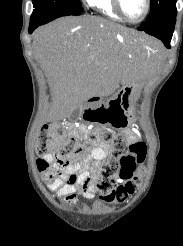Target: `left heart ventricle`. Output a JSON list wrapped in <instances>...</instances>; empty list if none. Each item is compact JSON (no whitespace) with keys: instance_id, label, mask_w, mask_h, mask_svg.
Segmentation results:
<instances>
[{"instance_id":"b2bd125f","label":"left heart ventricle","mask_w":183,"mask_h":246,"mask_svg":"<svg viewBox=\"0 0 183 246\" xmlns=\"http://www.w3.org/2000/svg\"><path fill=\"white\" fill-rule=\"evenodd\" d=\"M122 2L124 12L130 19H139L144 13V0H122Z\"/></svg>"}]
</instances>
